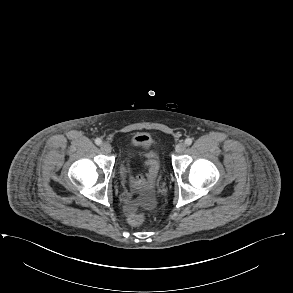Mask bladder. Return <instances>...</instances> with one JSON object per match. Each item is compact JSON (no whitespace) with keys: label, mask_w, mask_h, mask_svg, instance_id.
I'll use <instances>...</instances> for the list:
<instances>
[{"label":"bladder","mask_w":293,"mask_h":293,"mask_svg":"<svg viewBox=\"0 0 293 293\" xmlns=\"http://www.w3.org/2000/svg\"><path fill=\"white\" fill-rule=\"evenodd\" d=\"M119 170L122 179H127L133 170L131 153L128 149H125L122 154Z\"/></svg>","instance_id":"obj_1"}]
</instances>
